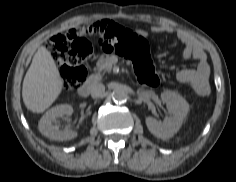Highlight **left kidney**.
I'll return each instance as SVG.
<instances>
[{
	"label": "left kidney",
	"instance_id": "1",
	"mask_svg": "<svg viewBox=\"0 0 236 182\" xmlns=\"http://www.w3.org/2000/svg\"><path fill=\"white\" fill-rule=\"evenodd\" d=\"M162 101L167 105L169 117L163 122L153 117L145 119L148 130L157 138L167 140L174 136L180 129L189 111V104L179 94L173 91H165L161 94Z\"/></svg>",
	"mask_w": 236,
	"mask_h": 182
}]
</instances>
